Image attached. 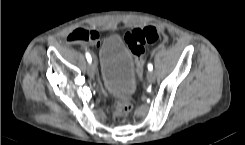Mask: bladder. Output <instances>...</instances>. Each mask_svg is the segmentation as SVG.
<instances>
[{
    "mask_svg": "<svg viewBox=\"0 0 245 145\" xmlns=\"http://www.w3.org/2000/svg\"><path fill=\"white\" fill-rule=\"evenodd\" d=\"M100 75L113 96L127 97L135 91L133 55L120 35L107 37L100 48Z\"/></svg>",
    "mask_w": 245,
    "mask_h": 145,
    "instance_id": "obj_1",
    "label": "bladder"
}]
</instances>
